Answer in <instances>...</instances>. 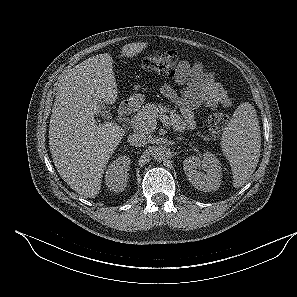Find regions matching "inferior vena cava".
Returning <instances> with one entry per match:
<instances>
[{
	"mask_svg": "<svg viewBox=\"0 0 297 297\" xmlns=\"http://www.w3.org/2000/svg\"><path fill=\"white\" fill-rule=\"evenodd\" d=\"M127 141L131 146L142 147L148 143V138L143 134L134 133L128 136Z\"/></svg>",
	"mask_w": 297,
	"mask_h": 297,
	"instance_id": "602c4592",
	"label": "inferior vena cava"
}]
</instances>
